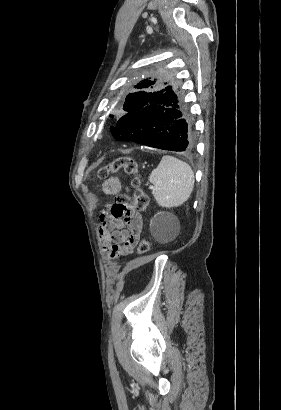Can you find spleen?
Segmentation results:
<instances>
[{
    "mask_svg": "<svg viewBox=\"0 0 281 410\" xmlns=\"http://www.w3.org/2000/svg\"><path fill=\"white\" fill-rule=\"evenodd\" d=\"M149 181L158 205L170 208L188 200L194 187V173L187 163L165 155L151 172Z\"/></svg>",
    "mask_w": 281,
    "mask_h": 410,
    "instance_id": "spleen-1",
    "label": "spleen"
}]
</instances>
